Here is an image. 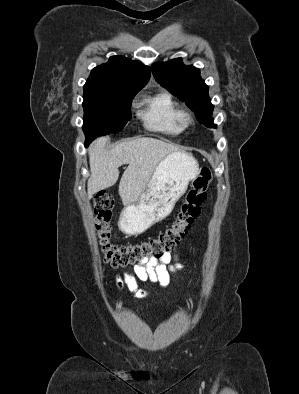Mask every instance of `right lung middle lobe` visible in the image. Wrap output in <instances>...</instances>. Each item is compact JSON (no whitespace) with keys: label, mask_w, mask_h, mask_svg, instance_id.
I'll return each instance as SVG.
<instances>
[{"label":"right lung middle lobe","mask_w":299,"mask_h":394,"mask_svg":"<svg viewBox=\"0 0 299 394\" xmlns=\"http://www.w3.org/2000/svg\"><path fill=\"white\" fill-rule=\"evenodd\" d=\"M138 91L84 92L83 131L87 144L96 137L122 130L131 119V101Z\"/></svg>","instance_id":"obj_1"}]
</instances>
